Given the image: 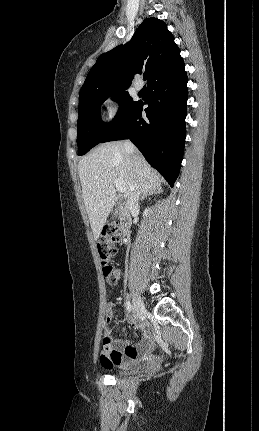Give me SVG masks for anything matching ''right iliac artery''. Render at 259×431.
<instances>
[{"instance_id":"1","label":"right iliac artery","mask_w":259,"mask_h":431,"mask_svg":"<svg viewBox=\"0 0 259 431\" xmlns=\"http://www.w3.org/2000/svg\"><path fill=\"white\" fill-rule=\"evenodd\" d=\"M126 309H127L128 313H130L132 310V305L129 301L126 302Z\"/></svg>"}]
</instances>
